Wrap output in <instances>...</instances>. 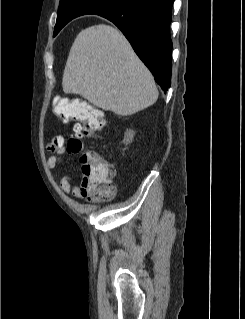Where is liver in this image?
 <instances>
[{
	"mask_svg": "<svg viewBox=\"0 0 245 319\" xmlns=\"http://www.w3.org/2000/svg\"><path fill=\"white\" fill-rule=\"evenodd\" d=\"M66 94L121 116L153 105L158 90L150 71L116 28L100 24L82 30L70 49L62 79Z\"/></svg>",
	"mask_w": 245,
	"mask_h": 319,
	"instance_id": "liver-1",
	"label": "liver"
}]
</instances>
